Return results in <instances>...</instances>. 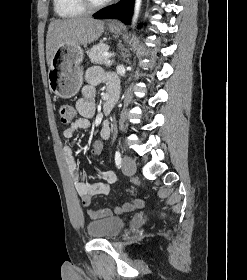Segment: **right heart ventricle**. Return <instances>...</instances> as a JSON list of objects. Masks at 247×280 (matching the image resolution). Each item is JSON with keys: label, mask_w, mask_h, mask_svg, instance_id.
I'll return each instance as SVG.
<instances>
[{"label": "right heart ventricle", "mask_w": 247, "mask_h": 280, "mask_svg": "<svg viewBox=\"0 0 247 280\" xmlns=\"http://www.w3.org/2000/svg\"><path fill=\"white\" fill-rule=\"evenodd\" d=\"M54 10L61 18H75L87 12L79 0H54Z\"/></svg>", "instance_id": "obj_1"}]
</instances>
